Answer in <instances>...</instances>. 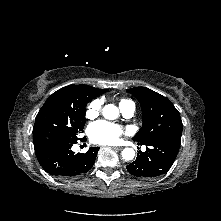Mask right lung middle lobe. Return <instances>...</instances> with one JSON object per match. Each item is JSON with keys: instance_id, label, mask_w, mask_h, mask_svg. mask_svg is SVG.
I'll return each mask as SVG.
<instances>
[{"instance_id": "right-lung-middle-lobe-1", "label": "right lung middle lobe", "mask_w": 221, "mask_h": 221, "mask_svg": "<svg viewBox=\"0 0 221 221\" xmlns=\"http://www.w3.org/2000/svg\"><path fill=\"white\" fill-rule=\"evenodd\" d=\"M85 96L70 99L65 93H53L38 112L33 128L34 149L54 142H76L85 126Z\"/></svg>"}]
</instances>
